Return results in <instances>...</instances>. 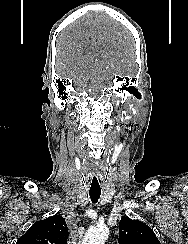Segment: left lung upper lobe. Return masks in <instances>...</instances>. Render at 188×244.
I'll return each mask as SVG.
<instances>
[{"label": "left lung upper lobe", "mask_w": 188, "mask_h": 244, "mask_svg": "<svg viewBox=\"0 0 188 244\" xmlns=\"http://www.w3.org/2000/svg\"><path fill=\"white\" fill-rule=\"evenodd\" d=\"M120 244H160L153 230L139 220L122 217L119 223Z\"/></svg>", "instance_id": "obj_1"}]
</instances>
